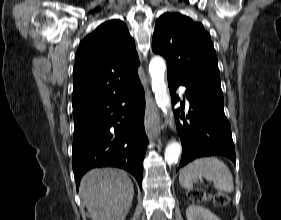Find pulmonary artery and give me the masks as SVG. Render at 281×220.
I'll return each instance as SVG.
<instances>
[{
	"instance_id": "obj_1",
	"label": "pulmonary artery",
	"mask_w": 281,
	"mask_h": 220,
	"mask_svg": "<svg viewBox=\"0 0 281 220\" xmlns=\"http://www.w3.org/2000/svg\"><path fill=\"white\" fill-rule=\"evenodd\" d=\"M180 92H181V93H184V89H183V88H180ZM186 104H187V106H189V102H188L187 99H186Z\"/></svg>"
}]
</instances>
